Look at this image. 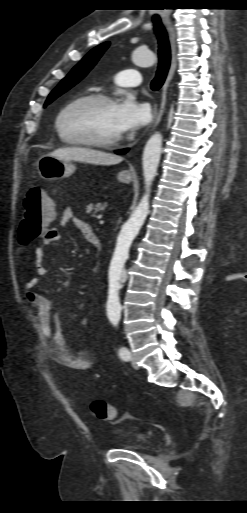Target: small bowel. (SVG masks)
<instances>
[{
  "instance_id": "c3829d8e",
  "label": "small bowel",
  "mask_w": 247,
  "mask_h": 513,
  "mask_svg": "<svg viewBox=\"0 0 247 513\" xmlns=\"http://www.w3.org/2000/svg\"><path fill=\"white\" fill-rule=\"evenodd\" d=\"M59 225L66 227L72 225L85 239L94 233L92 227L84 220L75 216L72 208L63 209ZM42 241L34 251V266L36 275L29 278L25 283L26 301L35 311L37 321L48 341L47 353L57 364L76 369L88 371L94 367L92 353L88 350H73L63 334L61 323L56 316L51 300L36 291L40 284V278L46 274L47 268L44 263L45 247L61 239L60 231L55 227L46 229L40 236Z\"/></svg>"
}]
</instances>
